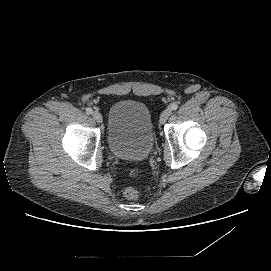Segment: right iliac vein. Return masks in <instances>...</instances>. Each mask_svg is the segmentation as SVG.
<instances>
[{"label":"right iliac vein","mask_w":271,"mask_h":271,"mask_svg":"<svg viewBox=\"0 0 271 271\" xmlns=\"http://www.w3.org/2000/svg\"><path fill=\"white\" fill-rule=\"evenodd\" d=\"M92 117L97 123H102L103 121L102 115L97 111L93 112Z\"/></svg>","instance_id":"obj_1"}]
</instances>
